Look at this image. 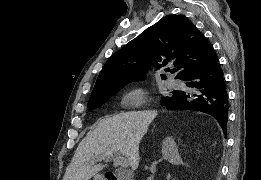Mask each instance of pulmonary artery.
I'll list each match as a JSON object with an SVG mask.
<instances>
[{
  "label": "pulmonary artery",
  "instance_id": "pulmonary-artery-1",
  "mask_svg": "<svg viewBox=\"0 0 261 180\" xmlns=\"http://www.w3.org/2000/svg\"><path fill=\"white\" fill-rule=\"evenodd\" d=\"M168 84H169V86H171V87H175V86H178V85L180 84V82H179V81H176V80H170V81L168 82Z\"/></svg>",
  "mask_w": 261,
  "mask_h": 180
}]
</instances>
